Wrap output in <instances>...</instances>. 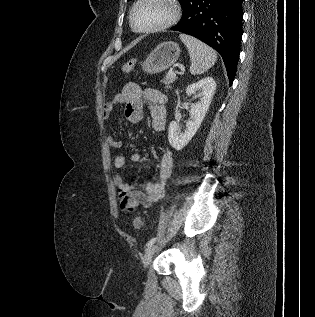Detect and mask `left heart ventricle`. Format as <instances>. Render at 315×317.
I'll return each instance as SVG.
<instances>
[{"mask_svg":"<svg viewBox=\"0 0 315 317\" xmlns=\"http://www.w3.org/2000/svg\"><path fill=\"white\" fill-rule=\"evenodd\" d=\"M171 13L170 6L164 0H145L135 10L134 23L144 29L164 22Z\"/></svg>","mask_w":315,"mask_h":317,"instance_id":"b2bd125f","label":"left heart ventricle"}]
</instances>
